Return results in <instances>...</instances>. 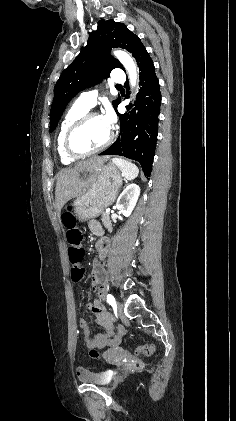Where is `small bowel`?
Returning a JSON list of instances; mask_svg holds the SVG:
<instances>
[{
	"mask_svg": "<svg viewBox=\"0 0 236 421\" xmlns=\"http://www.w3.org/2000/svg\"><path fill=\"white\" fill-rule=\"evenodd\" d=\"M89 228L94 234H97V235H100L103 232V229H102L101 225L97 221H94V220L89 222ZM102 314L105 316V312L102 311ZM107 321H108V331L111 334V333L114 332L113 324L111 323V321H109V320H107ZM83 325H86L84 321L81 322V326H83ZM123 333H124L123 329H121V328L117 329L118 335H122ZM110 342H112V341H109L107 343H103L100 346H106V345L110 344Z\"/></svg>",
	"mask_w": 236,
	"mask_h": 421,
	"instance_id": "c3829d8e",
	"label": "small bowel"
}]
</instances>
